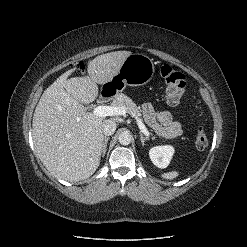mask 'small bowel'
Instances as JSON below:
<instances>
[{"label": "small bowel", "instance_id": "small-bowel-1", "mask_svg": "<svg viewBox=\"0 0 247 247\" xmlns=\"http://www.w3.org/2000/svg\"><path fill=\"white\" fill-rule=\"evenodd\" d=\"M143 114L146 122L160 136L175 138L181 135L182 126L175 121L169 111H156L152 104L143 105Z\"/></svg>", "mask_w": 247, "mask_h": 247}]
</instances>
